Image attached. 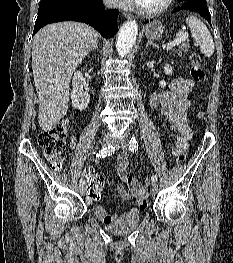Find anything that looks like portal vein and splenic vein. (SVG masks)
<instances>
[{
	"instance_id": "obj_1",
	"label": "portal vein and splenic vein",
	"mask_w": 233,
	"mask_h": 263,
	"mask_svg": "<svg viewBox=\"0 0 233 263\" xmlns=\"http://www.w3.org/2000/svg\"><path fill=\"white\" fill-rule=\"evenodd\" d=\"M188 39V33H182L179 34L178 37L176 39H174L173 41H171L168 45H167V51L172 49L173 47H175L176 45L180 44L183 41H186Z\"/></svg>"
}]
</instances>
